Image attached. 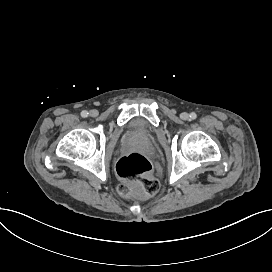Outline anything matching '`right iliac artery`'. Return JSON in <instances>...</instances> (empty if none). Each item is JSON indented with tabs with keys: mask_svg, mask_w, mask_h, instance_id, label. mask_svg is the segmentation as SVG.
<instances>
[{
	"mask_svg": "<svg viewBox=\"0 0 272 272\" xmlns=\"http://www.w3.org/2000/svg\"><path fill=\"white\" fill-rule=\"evenodd\" d=\"M88 114H89V113H88L87 111H85V110L81 112V116H82L83 118L88 117Z\"/></svg>",
	"mask_w": 272,
	"mask_h": 272,
	"instance_id": "1",
	"label": "right iliac artery"
}]
</instances>
